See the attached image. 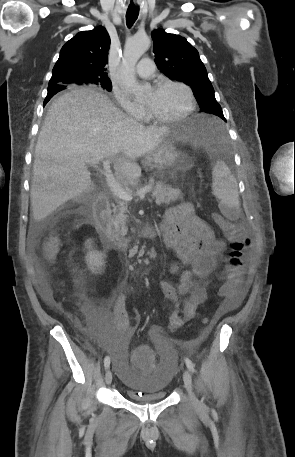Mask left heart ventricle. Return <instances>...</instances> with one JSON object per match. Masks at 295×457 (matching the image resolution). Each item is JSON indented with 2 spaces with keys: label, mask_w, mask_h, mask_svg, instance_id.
<instances>
[{
  "label": "left heart ventricle",
  "mask_w": 295,
  "mask_h": 457,
  "mask_svg": "<svg viewBox=\"0 0 295 457\" xmlns=\"http://www.w3.org/2000/svg\"><path fill=\"white\" fill-rule=\"evenodd\" d=\"M144 104L160 116L172 117L182 113L188 107L189 100L184 89L169 85L152 89Z\"/></svg>",
  "instance_id": "b2bd125f"
}]
</instances>
